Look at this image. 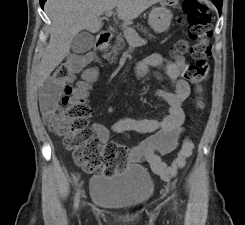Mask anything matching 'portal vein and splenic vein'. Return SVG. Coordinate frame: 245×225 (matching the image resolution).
<instances>
[{
  "mask_svg": "<svg viewBox=\"0 0 245 225\" xmlns=\"http://www.w3.org/2000/svg\"><path fill=\"white\" fill-rule=\"evenodd\" d=\"M113 14V11H107L105 13L106 17H110ZM123 33L126 39L134 46H140L146 43V41L139 37L138 33L131 27H124Z\"/></svg>",
  "mask_w": 245,
  "mask_h": 225,
  "instance_id": "18ae733b",
  "label": "portal vein and splenic vein"
}]
</instances>
